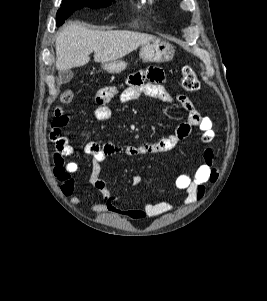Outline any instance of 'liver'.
I'll return each instance as SVG.
<instances>
[{"label":"liver","instance_id":"6515ba94","mask_svg":"<svg viewBox=\"0 0 267 301\" xmlns=\"http://www.w3.org/2000/svg\"><path fill=\"white\" fill-rule=\"evenodd\" d=\"M155 39L133 31H93L73 22L56 35V68L62 71L84 66L92 52L95 62L115 61Z\"/></svg>","mask_w":267,"mask_h":301}]
</instances>
